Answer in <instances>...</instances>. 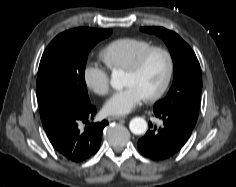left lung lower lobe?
I'll return each instance as SVG.
<instances>
[{"label":"left lung lower lobe","instance_id":"0a47b994","mask_svg":"<svg viewBox=\"0 0 236 187\" xmlns=\"http://www.w3.org/2000/svg\"><path fill=\"white\" fill-rule=\"evenodd\" d=\"M154 115L163 120V127L148 130L138 141V149L152 160H164L177 153L190 137L197 122L186 114L154 108Z\"/></svg>","mask_w":236,"mask_h":187}]
</instances>
